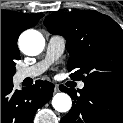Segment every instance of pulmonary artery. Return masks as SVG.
<instances>
[{
    "instance_id": "e3ab8cb5",
    "label": "pulmonary artery",
    "mask_w": 123,
    "mask_h": 123,
    "mask_svg": "<svg viewBox=\"0 0 123 123\" xmlns=\"http://www.w3.org/2000/svg\"><path fill=\"white\" fill-rule=\"evenodd\" d=\"M66 40L60 35H52L47 43L46 56L44 60L17 72V79L22 81L26 78H34L47 70L51 63L57 60L64 52ZM84 82H80L78 87L84 88Z\"/></svg>"
}]
</instances>
